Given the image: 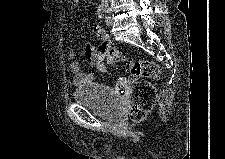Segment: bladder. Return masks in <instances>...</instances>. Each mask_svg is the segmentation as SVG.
Segmentation results:
<instances>
[{"label": "bladder", "instance_id": "1", "mask_svg": "<svg viewBox=\"0 0 225 159\" xmlns=\"http://www.w3.org/2000/svg\"><path fill=\"white\" fill-rule=\"evenodd\" d=\"M74 100L107 120H116L122 114L121 98L108 86L101 83H88L77 88Z\"/></svg>", "mask_w": 225, "mask_h": 159}]
</instances>
